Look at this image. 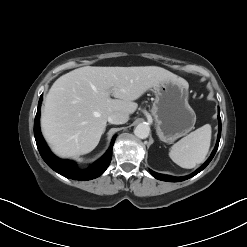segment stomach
Instances as JSON below:
<instances>
[{"label": "stomach", "mask_w": 247, "mask_h": 247, "mask_svg": "<svg viewBox=\"0 0 247 247\" xmlns=\"http://www.w3.org/2000/svg\"><path fill=\"white\" fill-rule=\"evenodd\" d=\"M153 92L151 113L159 139L172 143L189 133L194 128L196 114L188 103V83L180 79L163 80Z\"/></svg>", "instance_id": "obj_1"}]
</instances>
